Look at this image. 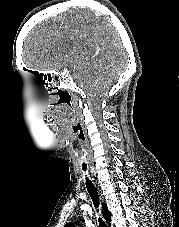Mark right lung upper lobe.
I'll return each mask as SVG.
<instances>
[{"instance_id": "cb5924a9", "label": "right lung upper lobe", "mask_w": 179, "mask_h": 227, "mask_svg": "<svg viewBox=\"0 0 179 227\" xmlns=\"http://www.w3.org/2000/svg\"><path fill=\"white\" fill-rule=\"evenodd\" d=\"M102 213H103V216H104L105 220L110 225L111 212L107 209V206H106L105 203L102 204ZM65 227H75V226H74L73 223H68V224H66Z\"/></svg>"}]
</instances>
